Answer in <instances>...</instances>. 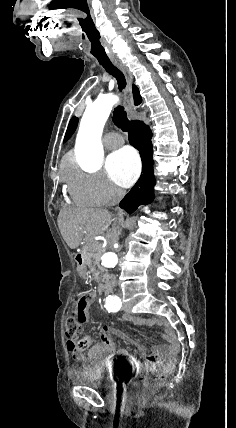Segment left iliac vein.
Returning a JSON list of instances; mask_svg holds the SVG:
<instances>
[{"label":"left iliac vein","mask_w":236,"mask_h":428,"mask_svg":"<svg viewBox=\"0 0 236 428\" xmlns=\"http://www.w3.org/2000/svg\"><path fill=\"white\" fill-rule=\"evenodd\" d=\"M119 298H120V299L122 298V294H119ZM121 300L123 301L124 299L122 298Z\"/></svg>","instance_id":"1"}]
</instances>
